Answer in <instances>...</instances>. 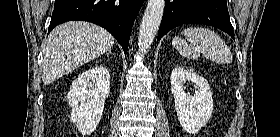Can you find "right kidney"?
<instances>
[{"instance_id":"right-kidney-1","label":"right kidney","mask_w":280,"mask_h":137,"mask_svg":"<svg viewBox=\"0 0 280 137\" xmlns=\"http://www.w3.org/2000/svg\"><path fill=\"white\" fill-rule=\"evenodd\" d=\"M110 75L103 66L84 71L72 83L67 95L70 120L82 135H89L99 124L109 96Z\"/></svg>"}]
</instances>
